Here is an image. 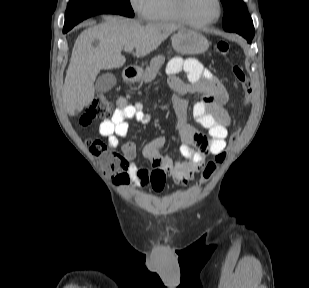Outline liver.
I'll list each match as a JSON object with an SVG mask.
<instances>
[{
  "instance_id": "liver-1",
  "label": "liver",
  "mask_w": 309,
  "mask_h": 288,
  "mask_svg": "<svg viewBox=\"0 0 309 288\" xmlns=\"http://www.w3.org/2000/svg\"><path fill=\"white\" fill-rule=\"evenodd\" d=\"M180 26L147 23L128 18H108L104 23L85 29L76 39L66 72L62 99L66 112L80 113L94 99V81L102 69L122 67L126 59L121 51L135 48L141 58L156 50Z\"/></svg>"
}]
</instances>
